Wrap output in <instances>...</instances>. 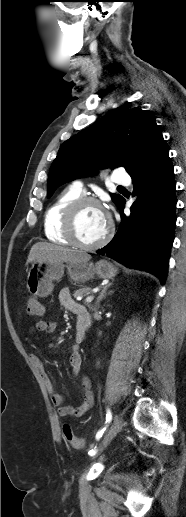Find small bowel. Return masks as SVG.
Wrapping results in <instances>:
<instances>
[{
	"label": "small bowel",
	"mask_w": 186,
	"mask_h": 517,
	"mask_svg": "<svg viewBox=\"0 0 186 517\" xmlns=\"http://www.w3.org/2000/svg\"><path fill=\"white\" fill-rule=\"evenodd\" d=\"M59 300L61 305L67 309L68 311L78 315V312L84 309V306L77 303L73 300L71 293L68 289H63L59 293ZM57 324L54 320H39L37 321L31 329V332L34 331H43L46 333H53L56 330ZM82 338H80L78 332H76L74 337V343L71 346L70 353V365L72 368V372L74 376H78L81 372L82 368V357L80 354V343L82 342ZM32 363L35 365L37 370L39 371L43 382L51 396V400L55 406L58 407V414L61 417H80L85 412H87L93 405L94 397L93 392L91 390V383L87 376L82 377V386H83V400L77 406L65 405V396L63 393L57 391L53 383L51 382L48 374L44 369V363L42 359L36 353H30L29 355Z\"/></svg>",
	"instance_id": "small-bowel-1"
}]
</instances>
